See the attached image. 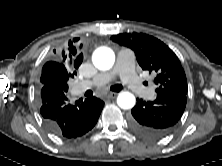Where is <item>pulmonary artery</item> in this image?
I'll return each instance as SVG.
<instances>
[{"mask_svg":"<svg viewBox=\"0 0 222 166\" xmlns=\"http://www.w3.org/2000/svg\"><path fill=\"white\" fill-rule=\"evenodd\" d=\"M117 75L133 92L143 93L146 97H150L152 89L146 87L136 74L135 57L134 54L129 50H121L118 53L115 66L110 72L100 73L87 83L78 84L75 88V93L81 94L91 85H105L112 81Z\"/></svg>","mask_w":222,"mask_h":166,"instance_id":"1","label":"pulmonary artery"}]
</instances>
